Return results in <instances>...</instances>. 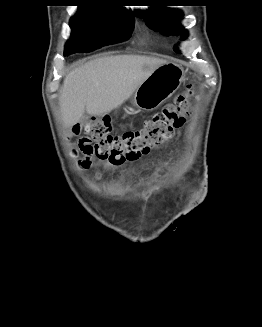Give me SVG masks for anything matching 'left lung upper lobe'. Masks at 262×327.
<instances>
[{"instance_id": "obj_1", "label": "left lung upper lobe", "mask_w": 262, "mask_h": 327, "mask_svg": "<svg viewBox=\"0 0 262 327\" xmlns=\"http://www.w3.org/2000/svg\"><path fill=\"white\" fill-rule=\"evenodd\" d=\"M149 10L150 12L148 15L142 11H135V15L144 18V21L149 27L160 30L165 35H180L181 39L187 37V31L180 25V19L182 17L181 12L162 8L159 9L157 6H153V8ZM174 50L178 52L176 47Z\"/></svg>"}]
</instances>
